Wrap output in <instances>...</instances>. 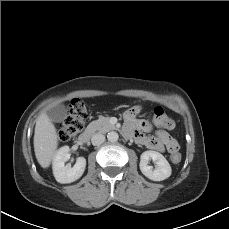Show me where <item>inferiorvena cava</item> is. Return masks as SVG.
I'll return each mask as SVG.
<instances>
[{
	"instance_id": "inferior-vena-cava-1",
	"label": "inferior vena cava",
	"mask_w": 229,
	"mask_h": 229,
	"mask_svg": "<svg viewBox=\"0 0 229 229\" xmlns=\"http://www.w3.org/2000/svg\"><path fill=\"white\" fill-rule=\"evenodd\" d=\"M105 141V136L100 133H96L92 136L91 142L94 146L101 145Z\"/></svg>"
}]
</instances>
